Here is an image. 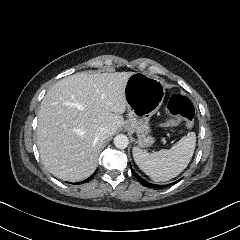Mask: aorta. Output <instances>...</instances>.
<instances>
[{
  "mask_svg": "<svg viewBox=\"0 0 240 240\" xmlns=\"http://www.w3.org/2000/svg\"><path fill=\"white\" fill-rule=\"evenodd\" d=\"M129 144V140L126 135L119 134L114 138V145L119 149H125Z\"/></svg>",
  "mask_w": 240,
  "mask_h": 240,
  "instance_id": "762f6f07",
  "label": "aorta"
}]
</instances>
